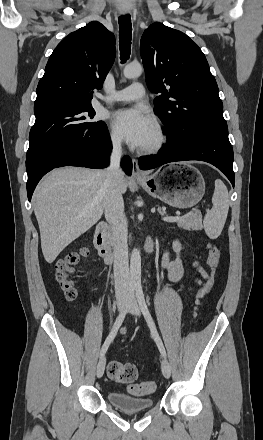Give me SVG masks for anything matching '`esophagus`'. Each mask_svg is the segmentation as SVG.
<instances>
[{
  "label": "esophagus",
  "instance_id": "1",
  "mask_svg": "<svg viewBox=\"0 0 263 440\" xmlns=\"http://www.w3.org/2000/svg\"><path fill=\"white\" fill-rule=\"evenodd\" d=\"M121 13L123 15H125L128 13V11L123 10V11H121ZM132 166H133V169H132V178L133 179H142L145 177V174L139 168L137 159H135V158L132 159Z\"/></svg>",
  "mask_w": 263,
  "mask_h": 440
}]
</instances>
